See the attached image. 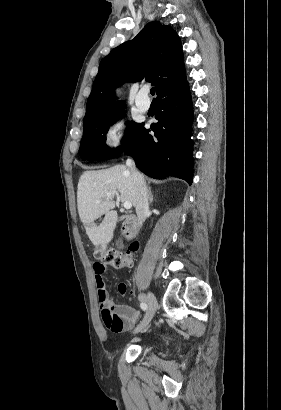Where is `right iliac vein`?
Returning <instances> with one entry per match:
<instances>
[{
    "label": "right iliac vein",
    "mask_w": 281,
    "mask_h": 410,
    "mask_svg": "<svg viewBox=\"0 0 281 410\" xmlns=\"http://www.w3.org/2000/svg\"><path fill=\"white\" fill-rule=\"evenodd\" d=\"M146 302L148 304L147 313L142 322L135 329L134 333H139L145 330L156 312L158 303L155 296L151 292L147 293Z\"/></svg>",
    "instance_id": "right-iliac-vein-1"
}]
</instances>
